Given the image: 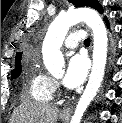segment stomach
I'll return each instance as SVG.
<instances>
[{
	"mask_svg": "<svg viewBox=\"0 0 122 123\" xmlns=\"http://www.w3.org/2000/svg\"><path fill=\"white\" fill-rule=\"evenodd\" d=\"M62 120H65V118H64V117H62Z\"/></svg>",
	"mask_w": 122,
	"mask_h": 123,
	"instance_id": "1",
	"label": "stomach"
}]
</instances>
